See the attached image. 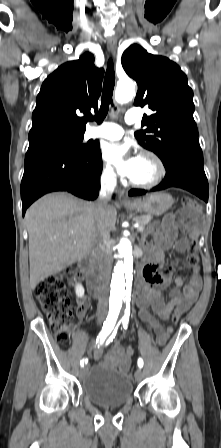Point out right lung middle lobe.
<instances>
[{
  "instance_id": "right-lung-middle-lobe-1",
  "label": "right lung middle lobe",
  "mask_w": 221,
  "mask_h": 448,
  "mask_svg": "<svg viewBox=\"0 0 221 448\" xmlns=\"http://www.w3.org/2000/svg\"><path fill=\"white\" fill-rule=\"evenodd\" d=\"M83 137H84V134L64 137V138H60V139L54 140L52 142L46 143L37 148L50 147V146L66 147V148H70L80 154H88L94 150L95 146L89 145V144H82ZM34 149H36V148H34Z\"/></svg>"
}]
</instances>
